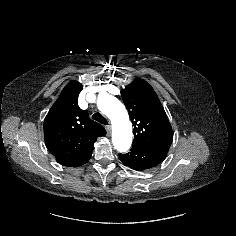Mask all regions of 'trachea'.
<instances>
[{
  "instance_id": "trachea-1",
  "label": "trachea",
  "mask_w": 236,
  "mask_h": 236,
  "mask_svg": "<svg viewBox=\"0 0 236 236\" xmlns=\"http://www.w3.org/2000/svg\"><path fill=\"white\" fill-rule=\"evenodd\" d=\"M92 119H94L95 121L99 122L100 124L108 125L107 120L100 113H94L92 115Z\"/></svg>"
}]
</instances>
